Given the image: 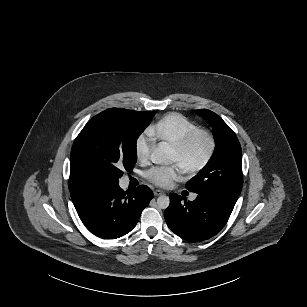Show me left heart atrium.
Wrapping results in <instances>:
<instances>
[{"mask_svg": "<svg viewBox=\"0 0 307 307\" xmlns=\"http://www.w3.org/2000/svg\"><path fill=\"white\" fill-rule=\"evenodd\" d=\"M185 168L179 163L155 164L145 171V178L160 187H168L175 180H181Z\"/></svg>", "mask_w": 307, "mask_h": 307, "instance_id": "left-heart-atrium-1", "label": "left heart atrium"}]
</instances>
